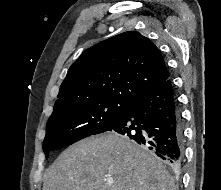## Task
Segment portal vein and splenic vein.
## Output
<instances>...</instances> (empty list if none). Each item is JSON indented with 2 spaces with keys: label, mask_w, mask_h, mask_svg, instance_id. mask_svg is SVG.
Segmentation results:
<instances>
[{
  "label": "portal vein and splenic vein",
  "mask_w": 221,
  "mask_h": 190,
  "mask_svg": "<svg viewBox=\"0 0 221 190\" xmlns=\"http://www.w3.org/2000/svg\"><path fill=\"white\" fill-rule=\"evenodd\" d=\"M107 183L112 184L113 183V179L112 178H108L107 179Z\"/></svg>",
  "instance_id": "1"
}]
</instances>
